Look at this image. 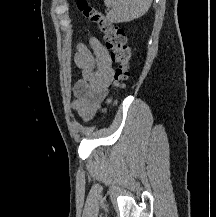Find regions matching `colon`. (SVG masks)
I'll return each mask as SVG.
<instances>
[{
    "label": "colon",
    "instance_id": "1",
    "mask_svg": "<svg viewBox=\"0 0 216 217\" xmlns=\"http://www.w3.org/2000/svg\"><path fill=\"white\" fill-rule=\"evenodd\" d=\"M79 10L83 16L95 24L98 31L102 34L106 47L112 50V57L117 67L114 75V85L117 90L121 89L124 82L129 78V61L131 58V50L127 43L125 31L109 22L107 18L87 0H77ZM116 96L110 97L107 104H113Z\"/></svg>",
    "mask_w": 216,
    "mask_h": 217
}]
</instances>
